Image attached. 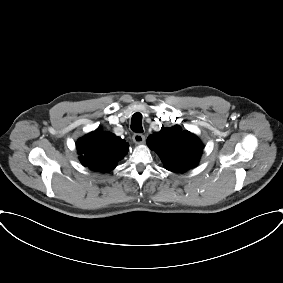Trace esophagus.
<instances>
[{
	"label": "esophagus",
	"instance_id": "34e87169",
	"mask_svg": "<svg viewBox=\"0 0 283 283\" xmlns=\"http://www.w3.org/2000/svg\"><path fill=\"white\" fill-rule=\"evenodd\" d=\"M134 143L136 144H142L145 141V136L142 135L141 133H135L132 137Z\"/></svg>",
	"mask_w": 283,
	"mask_h": 283
}]
</instances>
